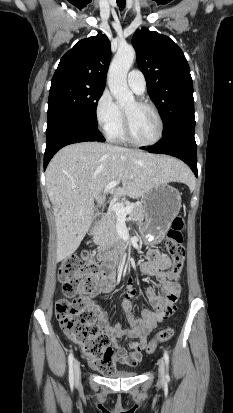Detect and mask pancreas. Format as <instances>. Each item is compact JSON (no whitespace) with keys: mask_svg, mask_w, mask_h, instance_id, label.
<instances>
[{"mask_svg":"<svg viewBox=\"0 0 233 413\" xmlns=\"http://www.w3.org/2000/svg\"><path fill=\"white\" fill-rule=\"evenodd\" d=\"M124 207L127 205L122 204ZM130 220L141 222L144 219V209L142 204H133V209L129 213ZM117 215L114 211L104 216L93 232V239L97 245L104 246L109 242L119 243L120 238L117 234Z\"/></svg>","mask_w":233,"mask_h":413,"instance_id":"pancreas-1","label":"pancreas"}]
</instances>
